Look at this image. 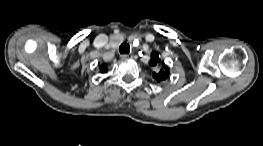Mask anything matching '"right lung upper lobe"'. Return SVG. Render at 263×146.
Wrapping results in <instances>:
<instances>
[{"instance_id":"obj_1","label":"right lung upper lobe","mask_w":263,"mask_h":146,"mask_svg":"<svg viewBox=\"0 0 263 146\" xmlns=\"http://www.w3.org/2000/svg\"><path fill=\"white\" fill-rule=\"evenodd\" d=\"M106 68H107V66H106L105 64H102V65L100 66L101 72H102V73L105 72V71H106Z\"/></svg>"}]
</instances>
